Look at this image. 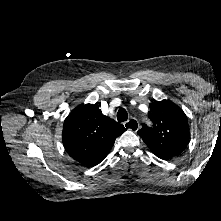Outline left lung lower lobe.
Here are the masks:
<instances>
[{"instance_id": "1", "label": "left lung lower lobe", "mask_w": 221, "mask_h": 221, "mask_svg": "<svg viewBox=\"0 0 221 221\" xmlns=\"http://www.w3.org/2000/svg\"><path fill=\"white\" fill-rule=\"evenodd\" d=\"M182 151H183V150H179V151H176V152H174V153H169V154L155 153V155H156L157 157H159L160 159L166 160V159H169V158H171V157H173V156L179 155Z\"/></svg>"}]
</instances>
